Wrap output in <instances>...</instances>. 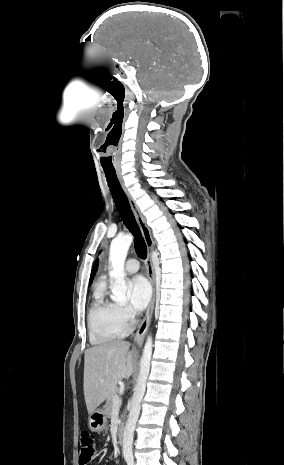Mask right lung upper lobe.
I'll list each match as a JSON object with an SVG mask.
<instances>
[{
    "instance_id": "obj_1",
    "label": "right lung upper lobe",
    "mask_w": 284,
    "mask_h": 465,
    "mask_svg": "<svg viewBox=\"0 0 284 465\" xmlns=\"http://www.w3.org/2000/svg\"><path fill=\"white\" fill-rule=\"evenodd\" d=\"M97 267H98V261H96V262L94 263V266H93V268H92V273H91V277H90V283L92 282L93 277H94V275H95V272L97 271Z\"/></svg>"
}]
</instances>
